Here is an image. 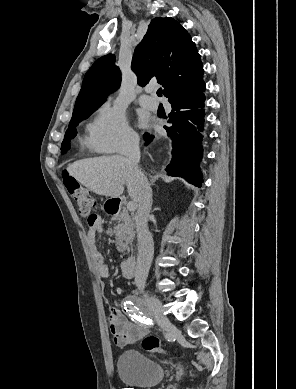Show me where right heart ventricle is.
Listing matches in <instances>:
<instances>
[{
  "label": "right heart ventricle",
  "mask_w": 296,
  "mask_h": 389,
  "mask_svg": "<svg viewBox=\"0 0 296 389\" xmlns=\"http://www.w3.org/2000/svg\"><path fill=\"white\" fill-rule=\"evenodd\" d=\"M90 128H91V125H89V126L87 127V129H88L89 132H90ZM87 143H89V144L92 145L91 137H89V138L87 139Z\"/></svg>",
  "instance_id": "1"
}]
</instances>
